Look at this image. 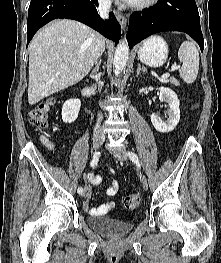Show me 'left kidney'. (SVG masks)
Listing matches in <instances>:
<instances>
[{
    "instance_id": "obj_1",
    "label": "left kidney",
    "mask_w": 221,
    "mask_h": 263,
    "mask_svg": "<svg viewBox=\"0 0 221 263\" xmlns=\"http://www.w3.org/2000/svg\"><path fill=\"white\" fill-rule=\"evenodd\" d=\"M159 91V99L168 103L169 117L165 121L158 119L155 114H152L150 117L155 129L161 133H166L172 131L180 120V102L173 90L166 87H160Z\"/></svg>"
}]
</instances>
